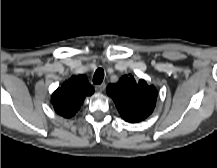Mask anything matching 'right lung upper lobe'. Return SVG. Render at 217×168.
I'll use <instances>...</instances> for the list:
<instances>
[{
	"label": "right lung upper lobe",
	"instance_id": "right-lung-upper-lobe-1",
	"mask_svg": "<svg viewBox=\"0 0 217 168\" xmlns=\"http://www.w3.org/2000/svg\"><path fill=\"white\" fill-rule=\"evenodd\" d=\"M93 93L94 89L84 75L72 76L53 93L51 101L59 115L70 118L79 110L84 98Z\"/></svg>",
	"mask_w": 217,
	"mask_h": 168
}]
</instances>
